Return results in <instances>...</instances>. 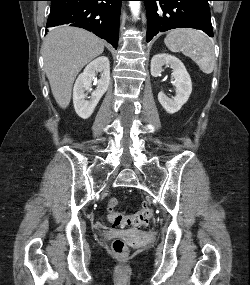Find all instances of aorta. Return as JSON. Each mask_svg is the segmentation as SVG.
<instances>
[{
  "mask_svg": "<svg viewBox=\"0 0 250 285\" xmlns=\"http://www.w3.org/2000/svg\"><path fill=\"white\" fill-rule=\"evenodd\" d=\"M140 1H129V7L134 17H138L140 13Z\"/></svg>",
  "mask_w": 250,
  "mask_h": 285,
  "instance_id": "obj_1",
  "label": "aorta"
}]
</instances>
